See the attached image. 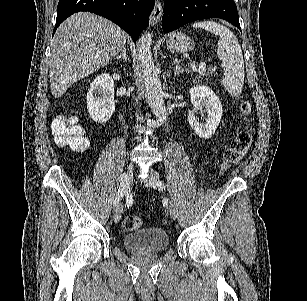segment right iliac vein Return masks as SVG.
<instances>
[{"instance_id":"63e3f726","label":"right iliac vein","mask_w":307,"mask_h":301,"mask_svg":"<svg viewBox=\"0 0 307 301\" xmlns=\"http://www.w3.org/2000/svg\"><path fill=\"white\" fill-rule=\"evenodd\" d=\"M133 171H134L133 164L130 163V164L128 165L126 174H124V175L121 177V183H120L119 189H120V190H123V188H124V194H126V195H127V189H128L129 184H130V182H131V178H132V176H133ZM122 213H123L122 206L119 205V206L115 209L114 216H113L115 223H118V222L120 221L121 216H122Z\"/></svg>"}]
</instances>
